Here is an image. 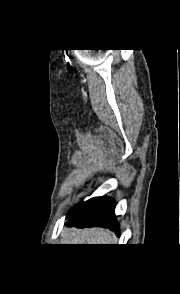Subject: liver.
Listing matches in <instances>:
<instances>
[{
  "instance_id": "1",
  "label": "liver",
  "mask_w": 180,
  "mask_h": 294,
  "mask_svg": "<svg viewBox=\"0 0 180 294\" xmlns=\"http://www.w3.org/2000/svg\"><path fill=\"white\" fill-rule=\"evenodd\" d=\"M63 242L65 244H111L115 237L102 228L91 229H65Z\"/></svg>"
}]
</instances>
